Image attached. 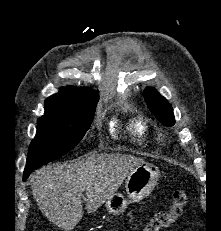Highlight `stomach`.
<instances>
[{"mask_svg":"<svg viewBox=\"0 0 221 231\" xmlns=\"http://www.w3.org/2000/svg\"><path fill=\"white\" fill-rule=\"evenodd\" d=\"M159 169L152 164H141L134 168L125 181L127 198L121 193H115L105 203L106 210L111 215H120L131 202H138L148 196L159 179Z\"/></svg>","mask_w":221,"mask_h":231,"instance_id":"obj_1","label":"stomach"}]
</instances>
